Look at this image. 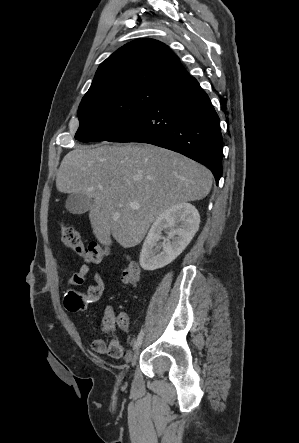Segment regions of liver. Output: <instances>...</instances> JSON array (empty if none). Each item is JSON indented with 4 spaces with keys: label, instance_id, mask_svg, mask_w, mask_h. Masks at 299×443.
Returning <instances> with one entry per match:
<instances>
[{
    "label": "liver",
    "instance_id": "6515ba94",
    "mask_svg": "<svg viewBox=\"0 0 299 443\" xmlns=\"http://www.w3.org/2000/svg\"><path fill=\"white\" fill-rule=\"evenodd\" d=\"M211 187L205 166L151 145L76 146L56 174L59 192L93 198L89 219L97 240L110 246L112 235L123 248L138 245L166 209L201 200Z\"/></svg>",
    "mask_w": 299,
    "mask_h": 443
}]
</instances>
